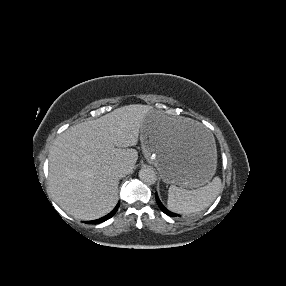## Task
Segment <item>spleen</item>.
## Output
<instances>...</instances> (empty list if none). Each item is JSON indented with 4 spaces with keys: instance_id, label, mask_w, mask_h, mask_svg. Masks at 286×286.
Segmentation results:
<instances>
[{
    "instance_id": "3e777b00",
    "label": "spleen",
    "mask_w": 286,
    "mask_h": 286,
    "mask_svg": "<svg viewBox=\"0 0 286 286\" xmlns=\"http://www.w3.org/2000/svg\"><path fill=\"white\" fill-rule=\"evenodd\" d=\"M221 187L219 177H215L206 186L195 190H186L171 185L168 190L167 207L169 210L180 214L202 211L216 199Z\"/></svg>"
}]
</instances>
